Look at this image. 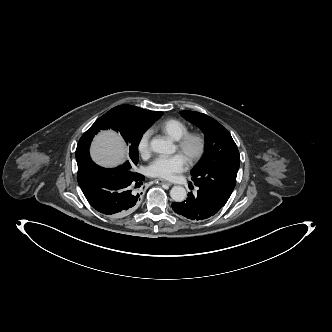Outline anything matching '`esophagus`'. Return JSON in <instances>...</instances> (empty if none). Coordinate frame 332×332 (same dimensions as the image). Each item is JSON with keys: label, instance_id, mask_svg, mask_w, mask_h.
Here are the masks:
<instances>
[{"label": "esophagus", "instance_id": "esophagus-1", "mask_svg": "<svg viewBox=\"0 0 332 332\" xmlns=\"http://www.w3.org/2000/svg\"><path fill=\"white\" fill-rule=\"evenodd\" d=\"M156 182H157L158 184H166V185H168V186H171V185H172V183H170V182H168V181H165V180H162V179H157Z\"/></svg>", "mask_w": 332, "mask_h": 332}]
</instances>
